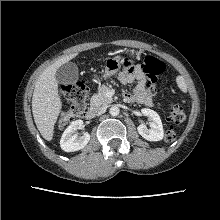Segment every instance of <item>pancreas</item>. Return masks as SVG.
<instances>
[{"label": "pancreas", "instance_id": "obj_1", "mask_svg": "<svg viewBox=\"0 0 220 220\" xmlns=\"http://www.w3.org/2000/svg\"><path fill=\"white\" fill-rule=\"evenodd\" d=\"M109 90L106 86H101L98 89V93L91 98V105L94 107H107L113 99L106 96V92Z\"/></svg>", "mask_w": 220, "mask_h": 220}]
</instances>
